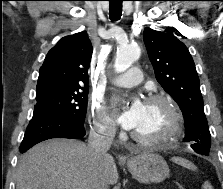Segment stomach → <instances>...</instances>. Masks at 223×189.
Masks as SVG:
<instances>
[{
    "instance_id": "0dacf381",
    "label": "stomach",
    "mask_w": 223,
    "mask_h": 189,
    "mask_svg": "<svg viewBox=\"0 0 223 189\" xmlns=\"http://www.w3.org/2000/svg\"><path fill=\"white\" fill-rule=\"evenodd\" d=\"M132 176L141 183H159L169 175L166 161L159 155L142 152L127 162Z\"/></svg>"
}]
</instances>
